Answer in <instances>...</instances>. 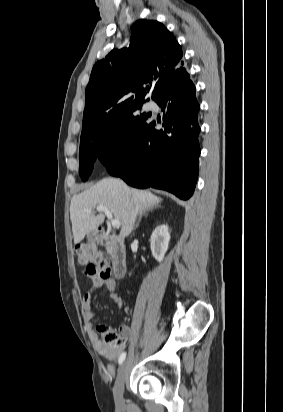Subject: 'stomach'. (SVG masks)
I'll list each match as a JSON object with an SVG mask.
<instances>
[{"label":"stomach","mask_w":283,"mask_h":412,"mask_svg":"<svg viewBox=\"0 0 283 412\" xmlns=\"http://www.w3.org/2000/svg\"><path fill=\"white\" fill-rule=\"evenodd\" d=\"M89 238L92 240V237H91V236H89Z\"/></svg>","instance_id":"0dacf381"}]
</instances>
